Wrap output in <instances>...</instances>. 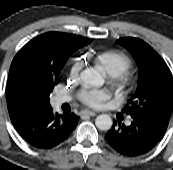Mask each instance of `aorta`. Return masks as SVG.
<instances>
[{"mask_svg": "<svg viewBox=\"0 0 173 170\" xmlns=\"http://www.w3.org/2000/svg\"><path fill=\"white\" fill-rule=\"evenodd\" d=\"M80 78L85 85L88 86H100L103 84V77L99 72L94 69H85L80 73ZM113 121L107 114H101L96 117L95 125L100 130H110Z\"/></svg>", "mask_w": 173, "mask_h": 170, "instance_id": "aorta-1", "label": "aorta"}]
</instances>
